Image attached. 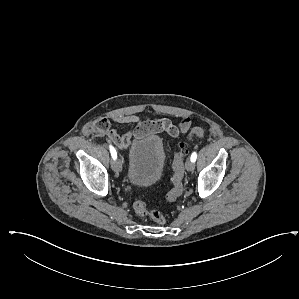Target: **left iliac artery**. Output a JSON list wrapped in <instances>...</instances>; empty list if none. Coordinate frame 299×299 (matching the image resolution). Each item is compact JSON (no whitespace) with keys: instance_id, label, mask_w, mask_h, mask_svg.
Listing matches in <instances>:
<instances>
[{"instance_id":"44dca946","label":"left iliac artery","mask_w":299,"mask_h":299,"mask_svg":"<svg viewBox=\"0 0 299 299\" xmlns=\"http://www.w3.org/2000/svg\"><path fill=\"white\" fill-rule=\"evenodd\" d=\"M196 158H197V153H196V152H193L192 155H191V158H190L191 161H192V162H195V161H196Z\"/></svg>"}]
</instances>
